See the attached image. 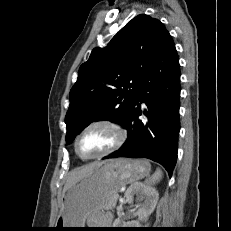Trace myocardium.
Wrapping results in <instances>:
<instances>
[{
	"label": "myocardium",
	"mask_w": 231,
	"mask_h": 231,
	"mask_svg": "<svg viewBox=\"0 0 231 231\" xmlns=\"http://www.w3.org/2000/svg\"><path fill=\"white\" fill-rule=\"evenodd\" d=\"M97 125H104V126H108L111 129H113L115 134H116V141L114 142V144L110 148H108L107 150H105V151H103L97 155L84 156L80 153V151L78 149L79 139L85 131H87L89 128L97 126ZM126 138H127V132H126L125 128L120 123H118L117 121L112 120V119L100 118V119H96V120L91 121L90 123L85 125L80 130V132L75 137L74 149H75L76 154L83 160L99 159V158H103L105 156H108V155L114 153L115 151H117L119 148H121V146L125 143Z\"/></svg>",
	"instance_id": "1"
}]
</instances>
